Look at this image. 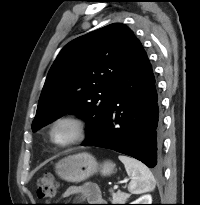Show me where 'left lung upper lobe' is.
Masks as SVG:
<instances>
[{"mask_svg": "<svg viewBox=\"0 0 200 205\" xmlns=\"http://www.w3.org/2000/svg\"><path fill=\"white\" fill-rule=\"evenodd\" d=\"M137 39L124 24L114 23L69 42L46 78L32 130L74 113L87 121L85 142L103 126L114 85Z\"/></svg>", "mask_w": 200, "mask_h": 205, "instance_id": "left-lung-upper-lobe-1", "label": "left lung upper lobe"}]
</instances>
